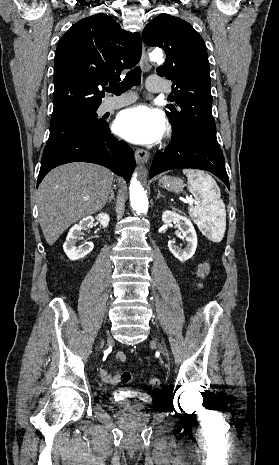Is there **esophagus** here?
Returning a JSON list of instances; mask_svg holds the SVG:
<instances>
[{"label": "esophagus", "instance_id": "esophagus-1", "mask_svg": "<svg viewBox=\"0 0 279 465\" xmlns=\"http://www.w3.org/2000/svg\"><path fill=\"white\" fill-rule=\"evenodd\" d=\"M140 64L144 72L149 71L150 63H149V59H148L144 44L142 45V55H141ZM149 157H150V154L147 150L137 149L135 151V159H136L137 164L147 163L149 160Z\"/></svg>", "mask_w": 279, "mask_h": 465}]
</instances>
